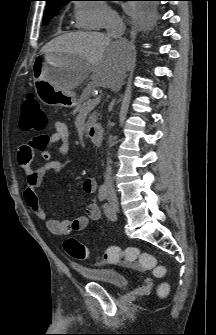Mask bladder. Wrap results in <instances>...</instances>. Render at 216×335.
Wrapping results in <instances>:
<instances>
[{"label":"bladder","mask_w":216,"mask_h":335,"mask_svg":"<svg viewBox=\"0 0 216 335\" xmlns=\"http://www.w3.org/2000/svg\"><path fill=\"white\" fill-rule=\"evenodd\" d=\"M75 271L90 281L113 288H124L128 285L126 274L114 268L75 267Z\"/></svg>","instance_id":"bladder-1"}]
</instances>
